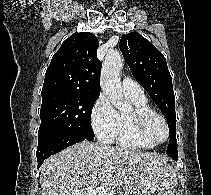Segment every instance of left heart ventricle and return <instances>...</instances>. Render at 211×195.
<instances>
[{
    "instance_id": "left-heart-ventricle-1",
    "label": "left heart ventricle",
    "mask_w": 211,
    "mask_h": 195,
    "mask_svg": "<svg viewBox=\"0 0 211 195\" xmlns=\"http://www.w3.org/2000/svg\"><path fill=\"white\" fill-rule=\"evenodd\" d=\"M147 133L152 141L161 142L166 136V130L161 120L153 119L147 128Z\"/></svg>"
}]
</instances>
